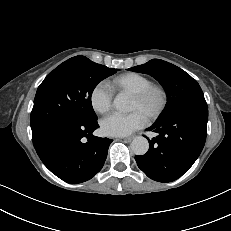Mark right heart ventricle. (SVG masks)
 Listing matches in <instances>:
<instances>
[{
    "label": "right heart ventricle",
    "instance_id": "e07e8e85",
    "mask_svg": "<svg viewBox=\"0 0 231 231\" xmlns=\"http://www.w3.org/2000/svg\"><path fill=\"white\" fill-rule=\"evenodd\" d=\"M151 82L146 75L137 72H127L114 77L108 86L112 91L133 94L148 86Z\"/></svg>",
    "mask_w": 231,
    "mask_h": 231
}]
</instances>
